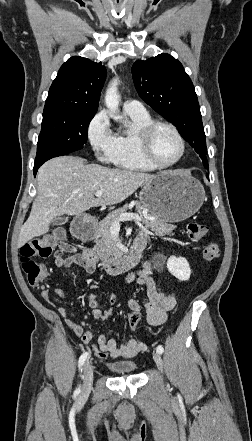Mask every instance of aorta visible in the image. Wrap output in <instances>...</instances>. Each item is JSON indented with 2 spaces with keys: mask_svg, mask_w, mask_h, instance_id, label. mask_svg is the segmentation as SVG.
<instances>
[{
  "mask_svg": "<svg viewBox=\"0 0 252 441\" xmlns=\"http://www.w3.org/2000/svg\"><path fill=\"white\" fill-rule=\"evenodd\" d=\"M118 79H114L105 94V105L110 111V116L114 120H121L122 118L117 115L119 112V95H118ZM127 126V124L125 123Z\"/></svg>",
  "mask_w": 252,
  "mask_h": 441,
  "instance_id": "obj_1",
  "label": "aorta"
}]
</instances>
